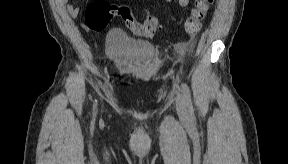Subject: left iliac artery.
Here are the masks:
<instances>
[{"label":"left iliac artery","instance_id":"left-iliac-artery-1","mask_svg":"<svg viewBox=\"0 0 288 164\" xmlns=\"http://www.w3.org/2000/svg\"><path fill=\"white\" fill-rule=\"evenodd\" d=\"M181 91L183 93L186 106H187L188 111L190 113V117L192 119H194V111H193V106H192L191 93H190L188 86L185 83H182Z\"/></svg>","mask_w":288,"mask_h":164}]
</instances>
